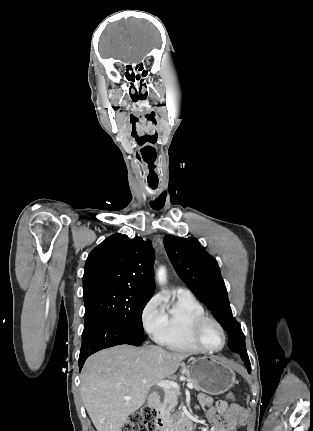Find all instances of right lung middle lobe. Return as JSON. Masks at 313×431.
<instances>
[{
    "instance_id": "obj_1",
    "label": "right lung middle lobe",
    "mask_w": 313,
    "mask_h": 431,
    "mask_svg": "<svg viewBox=\"0 0 313 431\" xmlns=\"http://www.w3.org/2000/svg\"><path fill=\"white\" fill-rule=\"evenodd\" d=\"M83 298L85 325L96 319H110L144 334L142 311L151 296L127 288H112Z\"/></svg>"
}]
</instances>
